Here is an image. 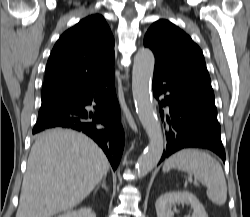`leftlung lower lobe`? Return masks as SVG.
<instances>
[{"label":"left lung lower lobe","mask_w":250,"mask_h":217,"mask_svg":"<svg viewBox=\"0 0 250 217\" xmlns=\"http://www.w3.org/2000/svg\"><path fill=\"white\" fill-rule=\"evenodd\" d=\"M153 94L159 100L167 144L161 161L184 148H205L225 162L211 80L154 69Z\"/></svg>","instance_id":"0a47b994"}]
</instances>
